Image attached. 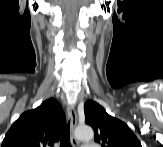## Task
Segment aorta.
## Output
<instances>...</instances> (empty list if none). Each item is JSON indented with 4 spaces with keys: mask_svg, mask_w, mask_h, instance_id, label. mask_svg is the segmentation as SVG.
<instances>
[{
    "mask_svg": "<svg viewBox=\"0 0 163 147\" xmlns=\"http://www.w3.org/2000/svg\"><path fill=\"white\" fill-rule=\"evenodd\" d=\"M75 136L78 140H91L94 137V132L89 125H79L75 130Z\"/></svg>",
    "mask_w": 163,
    "mask_h": 147,
    "instance_id": "1",
    "label": "aorta"
}]
</instances>
